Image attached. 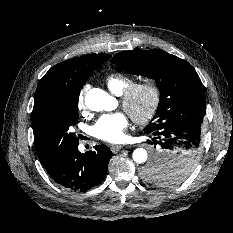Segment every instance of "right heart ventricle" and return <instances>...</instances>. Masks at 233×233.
I'll use <instances>...</instances> for the list:
<instances>
[{"label":"right heart ventricle","mask_w":233,"mask_h":233,"mask_svg":"<svg viewBox=\"0 0 233 233\" xmlns=\"http://www.w3.org/2000/svg\"><path fill=\"white\" fill-rule=\"evenodd\" d=\"M104 81L108 89L117 95H120L127 86L133 83V79L130 76L121 72L108 74Z\"/></svg>","instance_id":"obj_1"}]
</instances>
